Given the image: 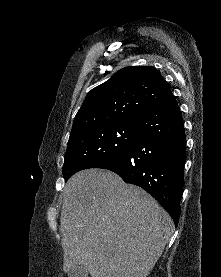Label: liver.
I'll list each match as a JSON object with an SVG mask.
<instances>
[{
  "mask_svg": "<svg viewBox=\"0 0 221 277\" xmlns=\"http://www.w3.org/2000/svg\"><path fill=\"white\" fill-rule=\"evenodd\" d=\"M173 229L169 214L143 189L108 170L80 171L64 187L63 269L83 265L92 277H147Z\"/></svg>",
  "mask_w": 221,
  "mask_h": 277,
  "instance_id": "obj_1",
  "label": "liver"
}]
</instances>
